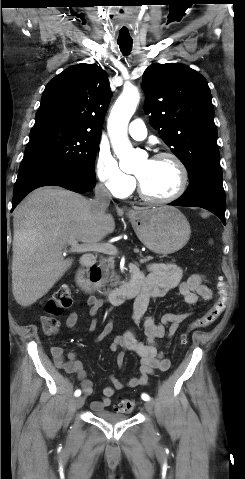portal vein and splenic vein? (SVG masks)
<instances>
[{
	"mask_svg": "<svg viewBox=\"0 0 245 479\" xmlns=\"http://www.w3.org/2000/svg\"><path fill=\"white\" fill-rule=\"evenodd\" d=\"M71 250L74 252H100L109 255H116L118 253L117 248L112 244H97V243H87L83 242L79 244L78 241L72 240L70 241ZM135 253H139V249H134Z\"/></svg>",
	"mask_w": 245,
	"mask_h": 479,
	"instance_id": "obj_1",
	"label": "portal vein and splenic vein"
}]
</instances>
